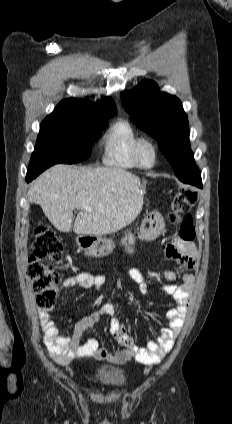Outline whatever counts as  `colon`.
Listing matches in <instances>:
<instances>
[{
    "mask_svg": "<svg viewBox=\"0 0 232 424\" xmlns=\"http://www.w3.org/2000/svg\"><path fill=\"white\" fill-rule=\"evenodd\" d=\"M199 193L190 187H180L173 195L169 220L180 222L179 236L185 241L195 238L193 219L187 213L198 201ZM63 259V248L59 238L46 226L35 230V240L29 257L27 276L33 282L36 304L41 309H51L56 303L59 275L54 265Z\"/></svg>",
    "mask_w": 232,
    "mask_h": 424,
    "instance_id": "5ec220e1",
    "label": "colon"
}]
</instances>
